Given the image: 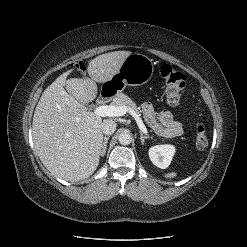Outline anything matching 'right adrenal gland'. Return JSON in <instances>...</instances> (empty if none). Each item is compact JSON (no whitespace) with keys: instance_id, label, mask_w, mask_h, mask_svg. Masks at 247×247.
I'll list each match as a JSON object with an SVG mask.
<instances>
[{"instance_id":"right-adrenal-gland-1","label":"right adrenal gland","mask_w":247,"mask_h":247,"mask_svg":"<svg viewBox=\"0 0 247 247\" xmlns=\"http://www.w3.org/2000/svg\"><path fill=\"white\" fill-rule=\"evenodd\" d=\"M109 136H105L104 137V140L102 142V149H101V152H100V155L103 157L106 153V149H107V143H108V140H109Z\"/></svg>"}]
</instances>
